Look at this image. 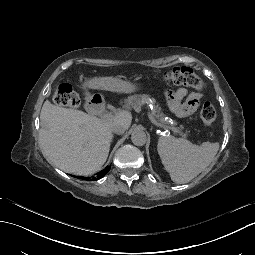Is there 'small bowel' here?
<instances>
[{
    "instance_id": "1",
    "label": "small bowel",
    "mask_w": 255,
    "mask_h": 255,
    "mask_svg": "<svg viewBox=\"0 0 255 255\" xmlns=\"http://www.w3.org/2000/svg\"><path fill=\"white\" fill-rule=\"evenodd\" d=\"M177 98L185 99V102L177 110L179 116H188L196 111L199 106L200 94L188 91L187 89H180L176 93Z\"/></svg>"
}]
</instances>
